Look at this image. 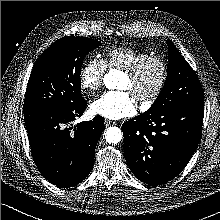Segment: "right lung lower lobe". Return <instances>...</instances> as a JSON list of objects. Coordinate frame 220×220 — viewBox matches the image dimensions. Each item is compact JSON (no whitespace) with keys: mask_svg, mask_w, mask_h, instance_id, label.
I'll return each instance as SVG.
<instances>
[{"mask_svg":"<svg viewBox=\"0 0 220 220\" xmlns=\"http://www.w3.org/2000/svg\"><path fill=\"white\" fill-rule=\"evenodd\" d=\"M86 106L84 100L69 109L41 107L24 111L33 160L40 173L60 188L73 187L88 176L105 129L100 115L70 127Z\"/></svg>","mask_w":220,"mask_h":220,"instance_id":"obj_1","label":"right lung lower lobe"}]
</instances>
